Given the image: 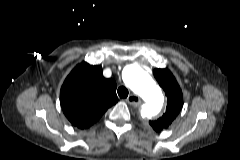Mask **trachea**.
Listing matches in <instances>:
<instances>
[{"label": "trachea", "instance_id": "3493384b", "mask_svg": "<svg viewBox=\"0 0 240 160\" xmlns=\"http://www.w3.org/2000/svg\"><path fill=\"white\" fill-rule=\"evenodd\" d=\"M117 93L120 98H127L129 94L128 89L125 86L119 87Z\"/></svg>", "mask_w": 240, "mask_h": 160}]
</instances>
